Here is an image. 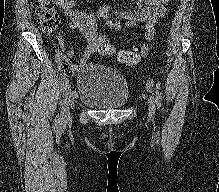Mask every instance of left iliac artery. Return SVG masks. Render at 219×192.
Here are the masks:
<instances>
[{"mask_svg":"<svg viewBox=\"0 0 219 192\" xmlns=\"http://www.w3.org/2000/svg\"><path fill=\"white\" fill-rule=\"evenodd\" d=\"M155 96H156V99H155L156 104H157L158 108H160L162 105V100H161V94H160L157 87L155 88Z\"/></svg>","mask_w":219,"mask_h":192,"instance_id":"1","label":"left iliac artery"}]
</instances>
